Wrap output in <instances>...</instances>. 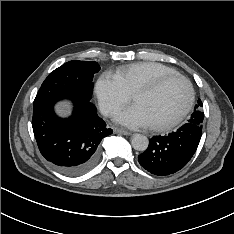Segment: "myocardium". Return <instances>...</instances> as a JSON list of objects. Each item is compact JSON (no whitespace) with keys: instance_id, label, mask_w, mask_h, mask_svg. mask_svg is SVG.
<instances>
[{"instance_id":"1","label":"myocardium","mask_w":234,"mask_h":234,"mask_svg":"<svg viewBox=\"0 0 234 234\" xmlns=\"http://www.w3.org/2000/svg\"><path fill=\"white\" fill-rule=\"evenodd\" d=\"M173 80H180L186 85L188 90V99L186 105L182 109V111L172 120L161 124L151 125V129L154 131H168L174 128L175 126H177L178 124H180L183 121V119L187 116V114L190 112L193 106L195 99V92L192 83L189 81L188 78L180 74L166 75L147 85L139 87L133 94V100H134V98L137 95L154 93L157 90H159L161 87H163L165 84Z\"/></svg>"}]
</instances>
